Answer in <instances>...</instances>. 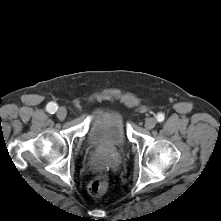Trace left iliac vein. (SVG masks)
I'll return each instance as SVG.
<instances>
[{
  "label": "left iliac vein",
  "mask_w": 221,
  "mask_h": 221,
  "mask_svg": "<svg viewBox=\"0 0 221 221\" xmlns=\"http://www.w3.org/2000/svg\"><path fill=\"white\" fill-rule=\"evenodd\" d=\"M156 119L153 118V117H149L146 119L145 121V128L148 129V130H151L155 127L156 125Z\"/></svg>",
  "instance_id": "obj_1"
}]
</instances>
